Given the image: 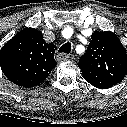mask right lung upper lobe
I'll return each mask as SVG.
<instances>
[{
  "mask_svg": "<svg viewBox=\"0 0 127 127\" xmlns=\"http://www.w3.org/2000/svg\"><path fill=\"white\" fill-rule=\"evenodd\" d=\"M55 50L56 46L46 43L40 31L25 28L0 50V66L14 84L33 87L42 83L56 66Z\"/></svg>",
  "mask_w": 127,
  "mask_h": 127,
  "instance_id": "cb5924a9",
  "label": "right lung upper lobe"
}]
</instances>
